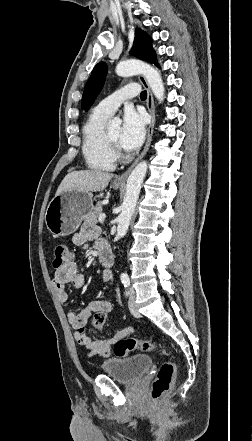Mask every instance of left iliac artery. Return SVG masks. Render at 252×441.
<instances>
[{
	"instance_id": "44dca946",
	"label": "left iliac artery",
	"mask_w": 252,
	"mask_h": 441,
	"mask_svg": "<svg viewBox=\"0 0 252 441\" xmlns=\"http://www.w3.org/2000/svg\"><path fill=\"white\" fill-rule=\"evenodd\" d=\"M121 281L125 287H127L130 284L129 276L126 273L121 274Z\"/></svg>"
}]
</instances>
